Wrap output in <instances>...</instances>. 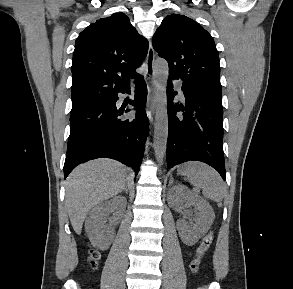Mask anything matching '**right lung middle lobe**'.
I'll return each mask as SVG.
<instances>
[{
	"mask_svg": "<svg viewBox=\"0 0 293 289\" xmlns=\"http://www.w3.org/2000/svg\"><path fill=\"white\" fill-rule=\"evenodd\" d=\"M106 99H102V100H89V101H84V102H79V103H74L72 104V110H71V114L70 116H74L77 115L79 113H82L96 105H98L99 103L103 102Z\"/></svg>",
	"mask_w": 293,
	"mask_h": 289,
	"instance_id": "obj_1",
	"label": "right lung middle lobe"
}]
</instances>
